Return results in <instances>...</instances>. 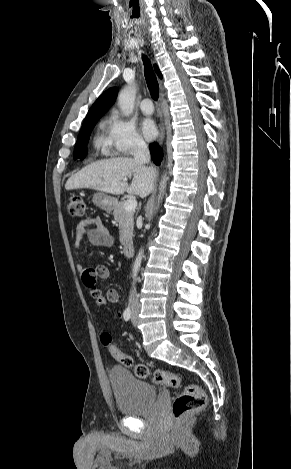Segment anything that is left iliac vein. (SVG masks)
Listing matches in <instances>:
<instances>
[{"instance_id":"4c4485c4","label":"left iliac vein","mask_w":291,"mask_h":469,"mask_svg":"<svg viewBox=\"0 0 291 469\" xmlns=\"http://www.w3.org/2000/svg\"><path fill=\"white\" fill-rule=\"evenodd\" d=\"M137 315H138V308H135L132 312V317H131V321L134 325H136V322H137Z\"/></svg>"}]
</instances>
